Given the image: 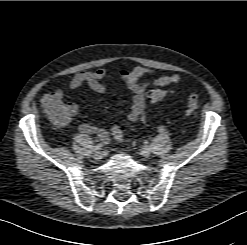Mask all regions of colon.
Segmentation results:
<instances>
[{"label": "colon", "mask_w": 247, "mask_h": 245, "mask_svg": "<svg viewBox=\"0 0 247 245\" xmlns=\"http://www.w3.org/2000/svg\"><path fill=\"white\" fill-rule=\"evenodd\" d=\"M168 95V90L164 88H154L148 92V97L152 102H158L163 100ZM199 106V98L197 94L192 93L188 98V107L191 114H195ZM46 112L51 118V120L58 124L64 125L69 119V113L67 105L64 102L53 101L46 107ZM112 134L114 138L121 142L123 140L122 129L114 124L111 127Z\"/></svg>", "instance_id": "colon-1"}]
</instances>
